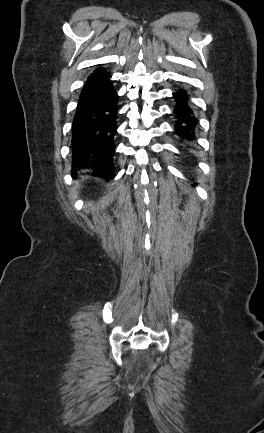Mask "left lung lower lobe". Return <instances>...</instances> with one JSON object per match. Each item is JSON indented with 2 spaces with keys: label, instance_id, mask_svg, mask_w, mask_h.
<instances>
[{
  "label": "left lung lower lobe",
  "instance_id": "obj_1",
  "mask_svg": "<svg viewBox=\"0 0 264 433\" xmlns=\"http://www.w3.org/2000/svg\"><path fill=\"white\" fill-rule=\"evenodd\" d=\"M173 96L177 101L174 112L177 118L175 130L181 138L191 140L195 135L197 120L188 105V95L184 89H178Z\"/></svg>",
  "mask_w": 264,
  "mask_h": 433
}]
</instances>
